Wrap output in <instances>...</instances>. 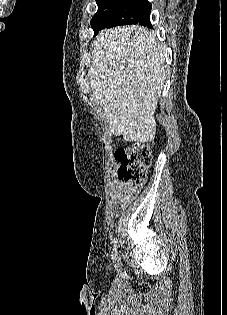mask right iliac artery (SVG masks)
Here are the masks:
<instances>
[{
	"instance_id": "1",
	"label": "right iliac artery",
	"mask_w": 227,
	"mask_h": 315,
	"mask_svg": "<svg viewBox=\"0 0 227 315\" xmlns=\"http://www.w3.org/2000/svg\"><path fill=\"white\" fill-rule=\"evenodd\" d=\"M112 242H113L115 248L118 247V244H117L118 241H117V239L114 238Z\"/></svg>"
}]
</instances>
